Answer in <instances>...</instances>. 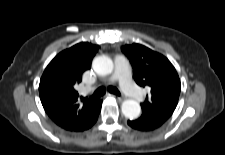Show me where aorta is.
Returning <instances> with one entry per match:
<instances>
[{
	"instance_id": "obj_1",
	"label": "aorta",
	"mask_w": 225,
	"mask_h": 155,
	"mask_svg": "<svg viewBox=\"0 0 225 155\" xmlns=\"http://www.w3.org/2000/svg\"><path fill=\"white\" fill-rule=\"evenodd\" d=\"M92 67L98 75H109L113 72V61L105 55L97 56L94 58ZM123 115L128 119H136L140 116L141 107L139 103L132 99L123 101L121 105Z\"/></svg>"
}]
</instances>
